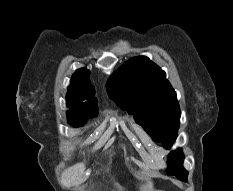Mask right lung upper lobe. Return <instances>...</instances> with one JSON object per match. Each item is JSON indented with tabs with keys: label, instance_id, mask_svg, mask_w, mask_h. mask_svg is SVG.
Masks as SVG:
<instances>
[{
	"label": "right lung upper lobe",
	"instance_id": "cb5924a9",
	"mask_svg": "<svg viewBox=\"0 0 233 191\" xmlns=\"http://www.w3.org/2000/svg\"><path fill=\"white\" fill-rule=\"evenodd\" d=\"M66 96L69 117H89L98 113L97 99L94 97L95 88L90 83V71L81 68L72 76ZM84 100H88L82 103Z\"/></svg>",
	"mask_w": 233,
	"mask_h": 191
}]
</instances>
